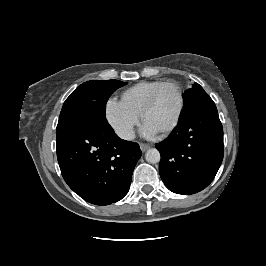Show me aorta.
Listing matches in <instances>:
<instances>
[{
    "label": "aorta",
    "instance_id": "aorta-1",
    "mask_svg": "<svg viewBox=\"0 0 266 266\" xmlns=\"http://www.w3.org/2000/svg\"><path fill=\"white\" fill-rule=\"evenodd\" d=\"M145 159L148 163L151 164L158 163L160 161V153L155 148L149 149L145 154Z\"/></svg>",
    "mask_w": 266,
    "mask_h": 266
}]
</instances>
